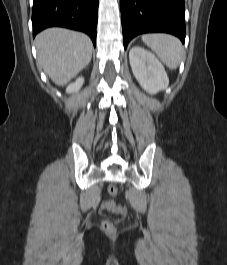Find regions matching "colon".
<instances>
[{"mask_svg":"<svg viewBox=\"0 0 227 265\" xmlns=\"http://www.w3.org/2000/svg\"><path fill=\"white\" fill-rule=\"evenodd\" d=\"M107 191L111 197L116 196L117 194V187L115 185H109ZM103 209L112 211L116 214L123 215L125 214L126 210L123 206L117 205L114 201H105L102 204ZM102 229L106 233H114L116 231L115 224L110 220H105L102 222Z\"/></svg>","mask_w":227,"mask_h":265,"instance_id":"colon-1","label":"colon"}]
</instances>
